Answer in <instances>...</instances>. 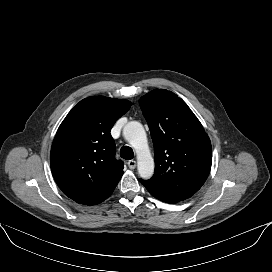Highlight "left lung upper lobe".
I'll return each mask as SVG.
<instances>
[{
	"label": "left lung upper lobe",
	"mask_w": 272,
	"mask_h": 272,
	"mask_svg": "<svg viewBox=\"0 0 272 272\" xmlns=\"http://www.w3.org/2000/svg\"><path fill=\"white\" fill-rule=\"evenodd\" d=\"M139 104L155 152V173L142 184L160 196L190 198L210 173L212 148L208 135L186 103L171 91L155 89L141 97Z\"/></svg>",
	"instance_id": "left-lung-upper-lobe-1"
}]
</instances>
